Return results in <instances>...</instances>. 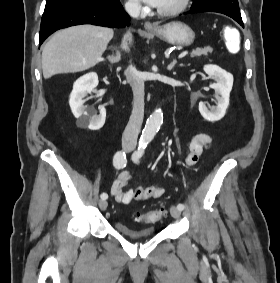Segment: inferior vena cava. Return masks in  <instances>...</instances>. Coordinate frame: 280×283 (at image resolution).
<instances>
[{
	"label": "inferior vena cava",
	"instance_id": "602c4592",
	"mask_svg": "<svg viewBox=\"0 0 280 283\" xmlns=\"http://www.w3.org/2000/svg\"><path fill=\"white\" fill-rule=\"evenodd\" d=\"M125 9L128 14L137 18L140 14L141 6L138 3H126ZM129 35H125L122 42V49L128 51ZM128 83L133 91V110L129 122L122 135V144L136 146L138 134L144 117V80L137 69L131 64L124 72Z\"/></svg>",
	"mask_w": 280,
	"mask_h": 283
}]
</instances>
